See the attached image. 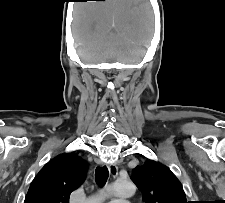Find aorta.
Masks as SVG:
<instances>
[{
	"mask_svg": "<svg viewBox=\"0 0 225 203\" xmlns=\"http://www.w3.org/2000/svg\"><path fill=\"white\" fill-rule=\"evenodd\" d=\"M135 192L134 184L129 181H116L112 183L105 191H102L91 198H89L88 203H102L105 196L114 195L117 197H129Z\"/></svg>",
	"mask_w": 225,
	"mask_h": 203,
	"instance_id": "762f6f07",
	"label": "aorta"
}]
</instances>
